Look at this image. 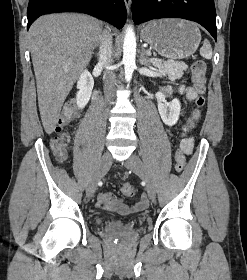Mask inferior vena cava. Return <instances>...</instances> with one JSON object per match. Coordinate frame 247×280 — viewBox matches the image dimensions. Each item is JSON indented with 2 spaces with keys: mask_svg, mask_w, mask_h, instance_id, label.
<instances>
[{
  "mask_svg": "<svg viewBox=\"0 0 247 280\" xmlns=\"http://www.w3.org/2000/svg\"><path fill=\"white\" fill-rule=\"evenodd\" d=\"M112 57V36L107 30L102 31L100 36L99 64L106 66L111 62ZM115 75L113 72L107 71L104 87L109 91L113 87Z\"/></svg>",
  "mask_w": 247,
  "mask_h": 280,
  "instance_id": "602c4592",
  "label": "inferior vena cava"
}]
</instances>
